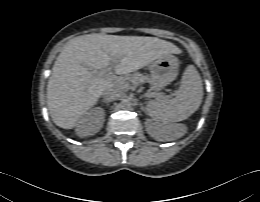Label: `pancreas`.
Instances as JSON below:
<instances>
[{"label": "pancreas", "instance_id": "cf45deb5", "mask_svg": "<svg viewBox=\"0 0 260 202\" xmlns=\"http://www.w3.org/2000/svg\"><path fill=\"white\" fill-rule=\"evenodd\" d=\"M147 77L140 74V73H135L133 75H130L128 76L126 79L122 80L120 83H119V87L122 89V90H127L129 88V82H132V83H141L143 82L144 80H146Z\"/></svg>", "mask_w": 260, "mask_h": 202}]
</instances>
